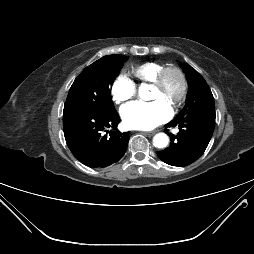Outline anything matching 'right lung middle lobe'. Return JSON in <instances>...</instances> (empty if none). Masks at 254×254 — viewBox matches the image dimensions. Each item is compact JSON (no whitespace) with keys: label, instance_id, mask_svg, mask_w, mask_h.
<instances>
[{"label":"right lung middle lobe","instance_id":"obj_1","mask_svg":"<svg viewBox=\"0 0 254 254\" xmlns=\"http://www.w3.org/2000/svg\"><path fill=\"white\" fill-rule=\"evenodd\" d=\"M126 60L124 55H108L86 67L72 84L65 104L94 112H114L110 87Z\"/></svg>","mask_w":254,"mask_h":254}]
</instances>
